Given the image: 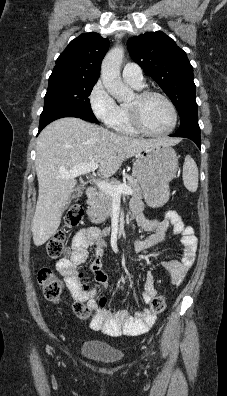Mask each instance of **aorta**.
Returning <instances> with one entry per match:
<instances>
[{
  "instance_id": "aorta-1",
  "label": "aorta",
  "mask_w": 227,
  "mask_h": 396,
  "mask_svg": "<svg viewBox=\"0 0 227 396\" xmlns=\"http://www.w3.org/2000/svg\"><path fill=\"white\" fill-rule=\"evenodd\" d=\"M123 57V48L117 46L107 53L101 66V79L103 85L118 101H126L132 95L131 89L124 85L120 75Z\"/></svg>"
}]
</instances>
